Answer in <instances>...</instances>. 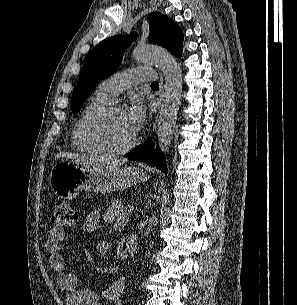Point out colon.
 <instances>
[{
	"instance_id": "colon-1",
	"label": "colon",
	"mask_w": 297,
	"mask_h": 305,
	"mask_svg": "<svg viewBox=\"0 0 297 305\" xmlns=\"http://www.w3.org/2000/svg\"><path fill=\"white\" fill-rule=\"evenodd\" d=\"M77 220V214L68 202L63 200L55 202L51 215V223L54 228L73 227Z\"/></svg>"
}]
</instances>
